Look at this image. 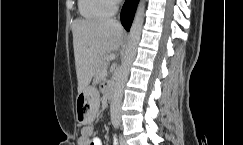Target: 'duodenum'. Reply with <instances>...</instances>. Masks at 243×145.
<instances>
[{
	"label": "duodenum",
	"mask_w": 243,
	"mask_h": 145,
	"mask_svg": "<svg viewBox=\"0 0 243 145\" xmlns=\"http://www.w3.org/2000/svg\"><path fill=\"white\" fill-rule=\"evenodd\" d=\"M107 97L109 100H112V98H113V87H111V86L107 90Z\"/></svg>",
	"instance_id": "410a0bca"
}]
</instances>
